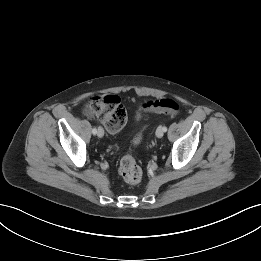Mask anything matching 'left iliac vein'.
<instances>
[{"mask_svg":"<svg viewBox=\"0 0 261 261\" xmlns=\"http://www.w3.org/2000/svg\"><path fill=\"white\" fill-rule=\"evenodd\" d=\"M163 135H164L163 127H162V126H159V127L157 128V130H156V136H157L158 138H161V137H163Z\"/></svg>","mask_w":261,"mask_h":261,"instance_id":"1","label":"left iliac vein"}]
</instances>
